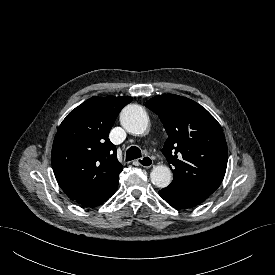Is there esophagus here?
<instances>
[{
  "mask_svg": "<svg viewBox=\"0 0 275 275\" xmlns=\"http://www.w3.org/2000/svg\"><path fill=\"white\" fill-rule=\"evenodd\" d=\"M137 162L140 166L144 168H149L153 165V160L150 156H144L142 158L137 159Z\"/></svg>",
  "mask_w": 275,
  "mask_h": 275,
  "instance_id": "obj_1",
  "label": "esophagus"
}]
</instances>
